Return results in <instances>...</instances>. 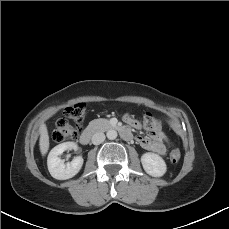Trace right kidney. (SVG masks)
Wrapping results in <instances>:
<instances>
[{
  "instance_id": "ca27d5eb",
  "label": "right kidney",
  "mask_w": 229,
  "mask_h": 229,
  "mask_svg": "<svg viewBox=\"0 0 229 229\" xmlns=\"http://www.w3.org/2000/svg\"><path fill=\"white\" fill-rule=\"evenodd\" d=\"M77 149V144L74 142H64L55 146L49 153L47 159L48 170L51 176L58 180H66L74 177L83 165L81 156L75 157L71 162L65 164L59 157L64 151Z\"/></svg>"
}]
</instances>
